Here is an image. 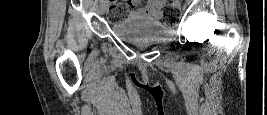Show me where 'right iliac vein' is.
Instances as JSON below:
<instances>
[{
	"label": "right iliac vein",
	"instance_id": "obj_1",
	"mask_svg": "<svg viewBox=\"0 0 267 115\" xmlns=\"http://www.w3.org/2000/svg\"><path fill=\"white\" fill-rule=\"evenodd\" d=\"M106 9H107L106 3L105 2H101V4H100V12H101V14H104Z\"/></svg>",
	"mask_w": 267,
	"mask_h": 115
}]
</instances>
